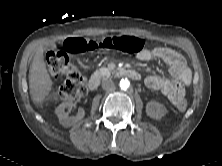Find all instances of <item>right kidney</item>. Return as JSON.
I'll return each mask as SVG.
<instances>
[{"instance_id":"ca27d5eb","label":"right kidney","mask_w":222,"mask_h":166,"mask_svg":"<svg viewBox=\"0 0 222 166\" xmlns=\"http://www.w3.org/2000/svg\"><path fill=\"white\" fill-rule=\"evenodd\" d=\"M71 105H72L71 101L63 102L55 109V113L57 117L59 118V122L64 127L72 126L73 124L80 121L85 115L84 109L79 108L76 116L69 117L68 114L65 112V109Z\"/></svg>"}]
</instances>
